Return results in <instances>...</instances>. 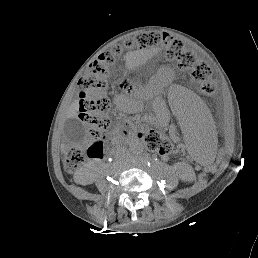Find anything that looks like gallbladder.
<instances>
[{
    "instance_id": "obj_1",
    "label": "gallbladder",
    "mask_w": 258,
    "mask_h": 258,
    "mask_svg": "<svg viewBox=\"0 0 258 258\" xmlns=\"http://www.w3.org/2000/svg\"><path fill=\"white\" fill-rule=\"evenodd\" d=\"M64 132L72 143L82 142L87 136V129L77 118L68 119L64 124Z\"/></svg>"
}]
</instances>
